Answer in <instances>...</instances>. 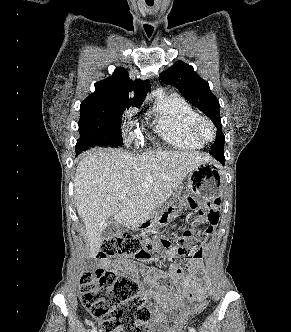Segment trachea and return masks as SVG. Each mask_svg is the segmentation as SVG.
Returning a JSON list of instances; mask_svg holds the SVG:
<instances>
[{"instance_id":"trachea-1","label":"trachea","mask_w":291,"mask_h":332,"mask_svg":"<svg viewBox=\"0 0 291 332\" xmlns=\"http://www.w3.org/2000/svg\"><path fill=\"white\" fill-rule=\"evenodd\" d=\"M147 5H148V6H152V5H153V3H147Z\"/></svg>"}]
</instances>
